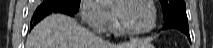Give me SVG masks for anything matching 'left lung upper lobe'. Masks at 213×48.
Here are the masks:
<instances>
[{"mask_svg":"<svg viewBox=\"0 0 213 48\" xmlns=\"http://www.w3.org/2000/svg\"><path fill=\"white\" fill-rule=\"evenodd\" d=\"M164 21L188 23L184 0H160Z\"/></svg>","mask_w":213,"mask_h":48,"instance_id":"obj_1","label":"left lung upper lobe"}]
</instances>
